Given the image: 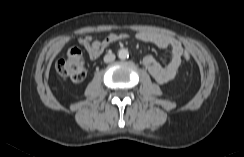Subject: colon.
I'll use <instances>...</instances> for the list:
<instances>
[{
    "label": "colon",
    "mask_w": 244,
    "mask_h": 157,
    "mask_svg": "<svg viewBox=\"0 0 244 157\" xmlns=\"http://www.w3.org/2000/svg\"><path fill=\"white\" fill-rule=\"evenodd\" d=\"M112 37L108 36L101 40L102 44L108 45L112 42ZM183 58L185 61L191 59L188 50H184ZM56 70L62 77L68 78L73 82H81L86 77L85 60L81 50L77 47L70 48L66 56L56 63Z\"/></svg>",
    "instance_id": "obj_1"
}]
</instances>
